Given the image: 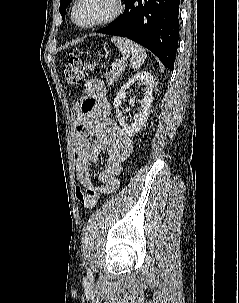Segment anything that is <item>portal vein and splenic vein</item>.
Masks as SVG:
<instances>
[{"label": "portal vein and splenic vein", "mask_w": 239, "mask_h": 303, "mask_svg": "<svg viewBox=\"0 0 239 303\" xmlns=\"http://www.w3.org/2000/svg\"><path fill=\"white\" fill-rule=\"evenodd\" d=\"M122 64H123L122 62L114 63L113 67H119V66H121Z\"/></svg>", "instance_id": "1"}]
</instances>
